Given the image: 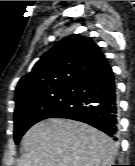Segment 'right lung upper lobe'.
Returning <instances> with one entry per match:
<instances>
[{
    "instance_id": "cb5924a9",
    "label": "right lung upper lobe",
    "mask_w": 135,
    "mask_h": 166,
    "mask_svg": "<svg viewBox=\"0 0 135 166\" xmlns=\"http://www.w3.org/2000/svg\"><path fill=\"white\" fill-rule=\"evenodd\" d=\"M106 62L101 48L90 37L79 34L65 37L19 80L15 90L16 107L72 87Z\"/></svg>"
}]
</instances>
